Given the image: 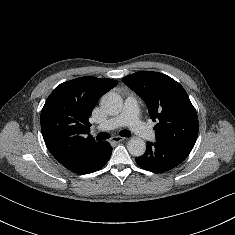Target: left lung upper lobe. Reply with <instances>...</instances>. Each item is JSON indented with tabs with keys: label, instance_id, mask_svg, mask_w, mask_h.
I'll return each instance as SVG.
<instances>
[{
	"label": "left lung upper lobe",
	"instance_id": "5c2ea615",
	"mask_svg": "<svg viewBox=\"0 0 235 235\" xmlns=\"http://www.w3.org/2000/svg\"><path fill=\"white\" fill-rule=\"evenodd\" d=\"M123 82L146 103L156 141L192 150L198 135V117L184 88L171 77L140 71Z\"/></svg>",
	"mask_w": 235,
	"mask_h": 235
}]
</instances>
